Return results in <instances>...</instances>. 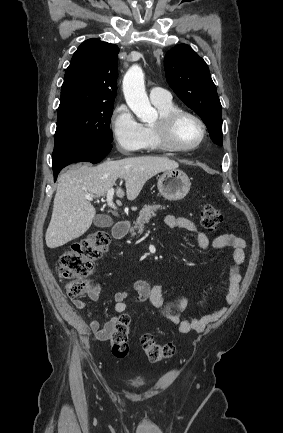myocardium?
I'll return each mask as SVG.
<instances>
[{
  "label": "myocardium",
  "instance_id": "f54148a6",
  "mask_svg": "<svg viewBox=\"0 0 283 433\" xmlns=\"http://www.w3.org/2000/svg\"><path fill=\"white\" fill-rule=\"evenodd\" d=\"M183 117L192 118L201 129L200 137L188 146L180 145L175 138L177 124ZM156 128L162 143L161 148L177 153H185L197 149L205 141L208 134V128L203 119L196 113L186 109H176L170 112L156 124Z\"/></svg>",
  "mask_w": 283,
  "mask_h": 433
}]
</instances>
